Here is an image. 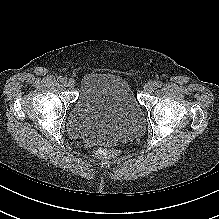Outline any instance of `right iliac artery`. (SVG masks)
Instances as JSON below:
<instances>
[{
	"instance_id": "82829eb1",
	"label": "right iliac artery",
	"mask_w": 219,
	"mask_h": 219,
	"mask_svg": "<svg viewBox=\"0 0 219 219\" xmlns=\"http://www.w3.org/2000/svg\"><path fill=\"white\" fill-rule=\"evenodd\" d=\"M59 82H64V78L62 76H59L57 79Z\"/></svg>"
}]
</instances>
